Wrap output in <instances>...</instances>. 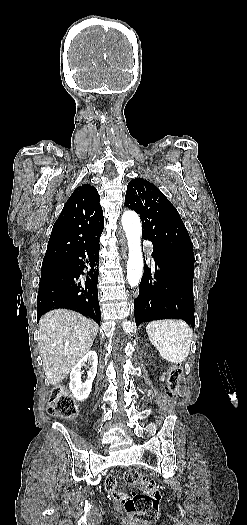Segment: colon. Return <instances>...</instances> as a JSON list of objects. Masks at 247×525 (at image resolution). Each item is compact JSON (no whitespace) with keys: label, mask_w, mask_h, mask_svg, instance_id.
<instances>
[{"label":"colon","mask_w":247,"mask_h":525,"mask_svg":"<svg viewBox=\"0 0 247 525\" xmlns=\"http://www.w3.org/2000/svg\"><path fill=\"white\" fill-rule=\"evenodd\" d=\"M183 371L184 367L181 363L171 364L166 377V389L170 396H174L181 386ZM47 410L51 416L63 419L77 415L78 406L63 383L53 386ZM124 478L127 484L138 487V490L126 496L124 500L126 511L141 522L154 523L159 514L160 490L158 484L134 470L127 471Z\"/></svg>","instance_id":"5ec220e1"}]
</instances>
